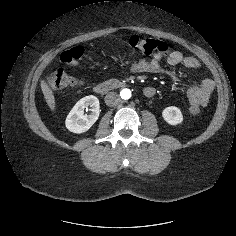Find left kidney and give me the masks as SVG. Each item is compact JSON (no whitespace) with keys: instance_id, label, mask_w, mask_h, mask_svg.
Masks as SVG:
<instances>
[{"instance_id":"1","label":"left kidney","mask_w":236,"mask_h":236,"mask_svg":"<svg viewBox=\"0 0 236 236\" xmlns=\"http://www.w3.org/2000/svg\"><path fill=\"white\" fill-rule=\"evenodd\" d=\"M162 117L168 124L173 126H176L183 122L182 112L175 106L166 107L162 111Z\"/></svg>"}]
</instances>
